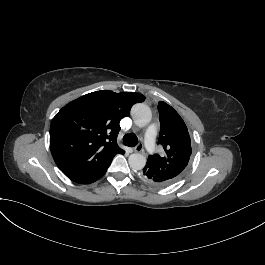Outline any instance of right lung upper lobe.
<instances>
[{"mask_svg": "<svg viewBox=\"0 0 265 265\" xmlns=\"http://www.w3.org/2000/svg\"><path fill=\"white\" fill-rule=\"evenodd\" d=\"M144 100L138 93L101 90L64 106L50 126V149L58 168L81 184L101 178L113 157L124 154L117 145L120 120Z\"/></svg>", "mask_w": 265, "mask_h": 265, "instance_id": "cb5924a9", "label": "right lung upper lobe"}]
</instances>
